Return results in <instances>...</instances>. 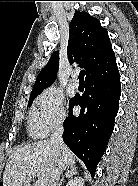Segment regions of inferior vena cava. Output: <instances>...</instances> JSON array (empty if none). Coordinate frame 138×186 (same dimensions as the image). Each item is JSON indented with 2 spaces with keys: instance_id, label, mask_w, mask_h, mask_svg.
Returning <instances> with one entry per match:
<instances>
[{
  "instance_id": "602c4592",
  "label": "inferior vena cava",
  "mask_w": 138,
  "mask_h": 186,
  "mask_svg": "<svg viewBox=\"0 0 138 186\" xmlns=\"http://www.w3.org/2000/svg\"><path fill=\"white\" fill-rule=\"evenodd\" d=\"M63 132H64V127L63 125H60L59 127L56 128V130L53 132V134L50 137V144L54 148L59 158L61 157L62 150L64 148V142L62 138ZM61 173H62V168L61 166H58L52 173L49 186H57V182L60 178Z\"/></svg>"
}]
</instances>
